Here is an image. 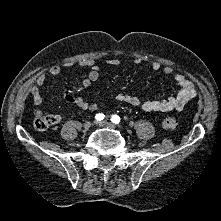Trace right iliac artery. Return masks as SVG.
I'll list each match as a JSON object with an SVG mask.
<instances>
[{
  "label": "right iliac artery",
  "mask_w": 221,
  "mask_h": 221,
  "mask_svg": "<svg viewBox=\"0 0 221 221\" xmlns=\"http://www.w3.org/2000/svg\"><path fill=\"white\" fill-rule=\"evenodd\" d=\"M104 117H105V115H104V114L99 113V114H97V115L95 116V119H96L97 121H101V120H103V119H104Z\"/></svg>",
  "instance_id": "1"
}]
</instances>
